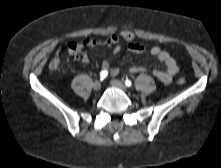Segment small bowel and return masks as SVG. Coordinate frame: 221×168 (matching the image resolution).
I'll list each match as a JSON object with an SVG mask.
<instances>
[{"mask_svg":"<svg viewBox=\"0 0 221 168\" xmlns=\"http://www.w3.org/2000/svg\"><path fill=\"white\" fill-rule=\"evenodd\" d=\"M96 43L97 42L95 40H87L84 42H70L67 44V48L70 53H73L74 59L81 60L82 62L87 63L88 56L86 55V53L83 52V50L87 47L95 45ZM107 44L113 46V52L115 54H118L120 52L121 47L119 45L118 35H111L110 38L107 40ZM126 44L127 49L132 53L141 54L146 51V48L143 45L135 41ZM149 53L165 65L164 70H153V75L163 83H170L173 80V77L179 71V67L175 59L167 51L162 50L158 46L150 48ZM101 67L103 71H109L111 76H116L120 72L119 67L110 68V63L107 60H104L102 62ZM145 70L146 69L141 66H132L130 68V71L132 73H140L144 72Z\"/></svg>","mask_w":221,"mask_h":168,"instance_id":"1","label":"small bowel"}]
</instances>
